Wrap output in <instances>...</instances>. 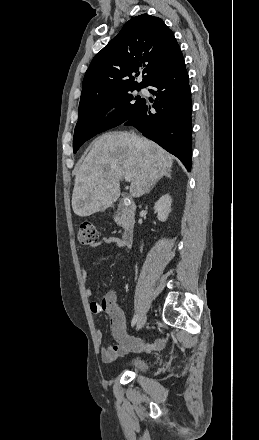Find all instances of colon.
Masks as SVG:
<instances>
[{
    "mask_svg": "<svg viewBox=\"0 0 259 440\" xmlns=\"http://www.w3.org/2000/svg\"><path fill=\"white\" fill-rule=\"evenodd\" d=\"M79 241L85 245H92L98 239V233L93 223L85 221L79 226Z\"/></svg>",
    "mask_w": 259,
    "mask_h": 440,
    "instance_id": "1",
    "label": "colon"
}]
</instances>
